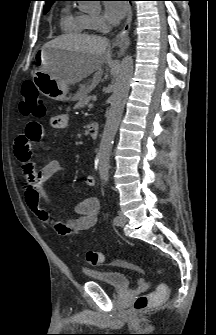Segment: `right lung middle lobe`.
I'll list each match as a JSON object with an SVG mask.
<instances>
[{
	"instance_id": "1",
	"label": "right lung middle lobe",
	"mask_w": 216,
	"mask_h": 335,
	"mask_svg": "<svg viewBox=\"0 0 216 335\" xmlns=\"http://www.w3.org/2000/svg\"><path fill=\"white\" fill-rule=\"evenodd\" d=\"M50 6H51V5H46V6L44 7V14L48 12V10L50 9Z\"/></svg>"
}]
</instances>
